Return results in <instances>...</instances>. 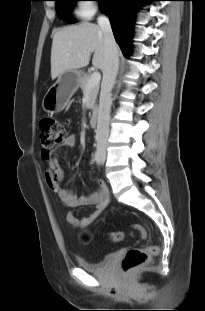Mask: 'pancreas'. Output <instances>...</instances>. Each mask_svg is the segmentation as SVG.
<instances>
[{
	"label": "pancreas",
	"instance_id": "cf45deb5",
	"mask_svg": "<svg viewBox=\"0 0 205 311\" xmlns=\"http://www.w3.org/2000/svg\"><path fill=\"white\" fill-rule=\"evenodd\" d=\"M90 78H91L90 74L83 75L80 79V87L84 94H88L87 108L94 109L97 95L99 92V85H95L94 87L88 89L87 85Z\"/></svg>",
	"mask_w": 205,
	"mask_h": 311
}]
</instances>
